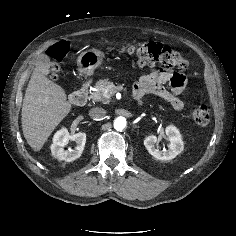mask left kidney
Returning <instances> with one entry per match:
<instances>
[{
  "label": "left kidney",
  "mask_w": 236,
  "mask_h": 236,
  "mask_svg": "<svg viewBox=\"0 0 236 236\" xmlns=\"http://www.w3.org/2000/svg\"><path fill=\"white\" fill-rule=\"evenodd\" d=\"M165 133L170 141L169 149L166 151H161L155 147V143L157 142L156 136L151 135L144 139V146L146 147L148 152L156 159L162 161L172 160L184 149L182 136L175 126H167L165 129Z\"/></svg>",
  "instance_id": "1"
}]
</instances>
